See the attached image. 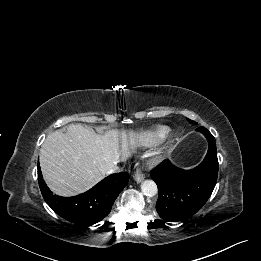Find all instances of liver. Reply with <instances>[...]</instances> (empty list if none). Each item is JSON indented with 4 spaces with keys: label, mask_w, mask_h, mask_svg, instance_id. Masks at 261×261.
<instances>
[{
    "label": "liver",
    "mask_w": 261,
    "mask_h": 261,
    "mask_svg": "<svg viewBox=\"0 0 261 261\" xmlns=\"http://www.w3.org/2000/svg\"><path fill=\"white\" fill-rule=\"evenodd\" d=\"M139 134L109 130L99 135L81 124L47 136L40 150V167L48 187L57 195L74 196L101 181L139 146Z\"/></svg>",
    "instance_id": "liver-1"
}]
</instances>
